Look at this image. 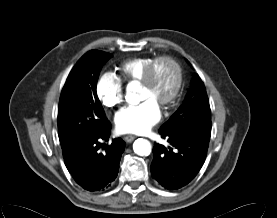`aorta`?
Returning a JSON list of instances; mask_svg holds the SVG:
<instances>
[{
  "label": "aorta",
  "mask_w": 277,
  "mask_h": 218,
  "mask_svg": "<svg viewBox=\"0 0 277 218\" xmlns=\"http://www.w3.org/2000/svg\"><path fill=\"white\" fill-rule=\"evenodd\" d=\"M126 101L130 104H137L140 101V97L135 93V91L130 90L126 95ZM151 149V143L143 138L137 139L133 144V150L139 156L150 155Z\"/></svg>",
  "instance_id": "aorta-1"
}]
</instances>
